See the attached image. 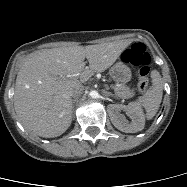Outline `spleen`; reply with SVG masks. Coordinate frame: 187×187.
I'll list each match as a JSON object with an SVG mask.
<instances>
[{"mask_svg":"<svg viewBox=\"0 0 187 187\" xmlns=\"http://www.w3.org/2000/svg\"><path fill=\"white\" fill-rule=\"evenodd\" d=\"M152 88L145 95L139 98L136 104L141 105L146 110L147 119H151L157 113L163 95L162 79L158 71L151 72Z\"/></svg>","mask_w":187,"mask_h":187,"instance_id":"spleen-1","label":"spleen"}]
</instances>
